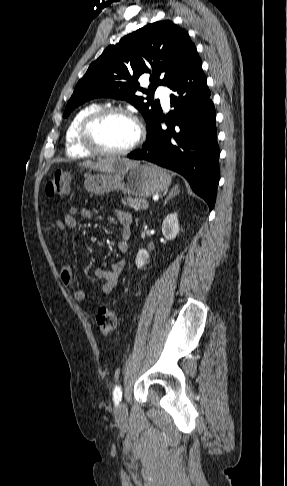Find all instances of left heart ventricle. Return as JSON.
Instances as JSON below:
<instances>
[{
    "label": "left heart ventricle",
    "mask_w": 287,
    "mask_h": 486,
    "mask_svg": "<svg viewBox=\"0 0 287 486\" xmlns=\"http://www.w3.org/2000/svg\"><path fill=\"white\" fill-rule=\"evenodd\" d=\"M135 134V126L128 118L122 115H111L94 127L92 137L100 148L115 151L129 145Z\"/></svg>",
    "instance_id": "obj_1"
}]
</instances>
